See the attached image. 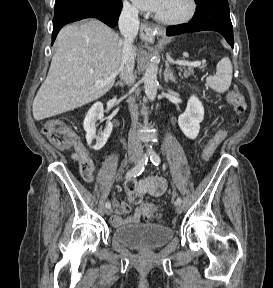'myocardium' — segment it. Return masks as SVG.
<instances>
[{"instance_id":"myocardium-1","label":"myocardium","mask_w":273,"mask_h":288,"mask_svg":"<svg viewBox=\"0 0 273 288\" xmlns=\"http://www.w3.org/2000/svg\"><path fill=\"white\" fill-rule=\"evenodd\" d=\"M188 4H189L188 11L180 17L166 18V17L160 16L159 14H156L155 19L159 21L160 23L166 24V25H179V24L186 23L193 18L197 10L196 0H188Z\"/></svg>"}]
</instances>
